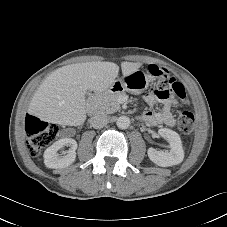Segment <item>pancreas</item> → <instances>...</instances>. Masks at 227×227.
Here are the masks:
<instances>
[{
	"instance_id": "pancreas-1",
	"label": "pancreas",
	"mask_w": 227,
	"mask_h": 227,
	"mask_svg": "<svg viewBox=\"0 0 227 227\" xmlns=\"http://www.w3.org/2000/svg\"><path fill=\"white\" fill-rule=\"evenodd\" d=\"M123 95L122 92H108L102 96L97 104L96 111L99 113L112 114L120 109L119 97Z\"/></svg>"
}]
</instances>
